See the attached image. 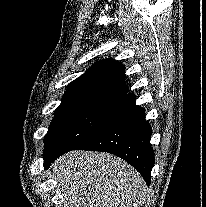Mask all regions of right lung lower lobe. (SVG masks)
<instances>
[{
  "label": "right lung lower lobe",
  "mask_w": 206,
  "mask_h": 207,
  "mask_svg": "<svg viewBox=\"0 0 206 207\" xmlns=\"http://www.w3.org/2000/svg\"><path fill=\"white\" fill-rule=\"evenodd\" d=\"M127 109L106 127L94 133L75 147L44 154V167L60 155L75 149L104 151L117 155L131 164L149 186L154 166V151L150 145L152 130L145 120V110L135 104L136 97L129 94Z\"/></svg>",
  "instance_id": "obj_1"
}]
</instances>
